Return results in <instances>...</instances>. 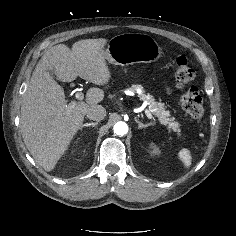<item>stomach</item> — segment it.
Here are the masks:
<instances>
[{
    "label": "stomach",
    "mask_w": 236,
    "mask_h": 236,
    "mask_svg": "<svg viewBox=\"0 0 236 236\" xmlns=\"http://www.w3.org/2000/svg\"><path fill=\"white\" fill-rule=\"evenodd\" d=\"M104 53L109 63L127 66L157 61L162 48L148 34L124 33L111 38Z\"/></svg>",
    "instance_id": "0dacf381"
}]
</instances>
